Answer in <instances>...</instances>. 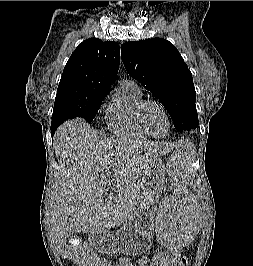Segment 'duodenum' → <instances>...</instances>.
<instances>
[{
    "instance_id": "410a0bca",
    "label": "duodenum",
    "mask_w": 253,
    "mask_h": 266,
    "mask_svg": "<svg viewBox=\"0 0 253 266\" xmlns=\"http://www.w3.org/2000/svg\"><path fill=\"white\" fill-rule=\"evenodd\" d=\"M107 239L104 233H94L92 234L91 240L94 244L105 242Z\"/></svg>"
}]
</instances>
